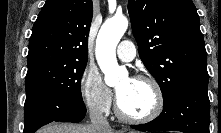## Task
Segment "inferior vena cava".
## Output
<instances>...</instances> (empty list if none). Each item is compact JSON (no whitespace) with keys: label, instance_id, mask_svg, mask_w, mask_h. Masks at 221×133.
<instances>
[{"label":"inferior vena cava","instance_id":"1","mask_svg":"<svg viewBox=\"0 0 221 133\" xmlns=\"http://www.w3.org/2000/svg\"><path fill=\"white\" fill-rule=\"evenodd\" d=\"M90 120L91 125L95 127L99 133H102L105 129L110 128L107 118L98 109L90 110Z\"/></svg>","mask_w":221,"mask_h":133}]
</instances>
